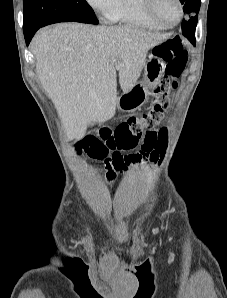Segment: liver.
Returning a JSON list of instances; mask_svg holds the SVG:
<instances>
[{
	"label": "liver",
	"mask_w": 227,
	"mask_h": 298,
	"mask_svg": "<svg viewBox=\"0 0 227 298\" xmlns=\"http://www.w3.org/2000/svg\"><path fill=\"white\" fill-rule=\"evenodd\" d=\"M169 37L130 26L83 23H60L34 36L36 73L68 140L83 138L90 124L115 115L116 72L123 93L128 92L140 77L148 51Z\"/></svg>",
	"instance_id": "liver-1"
}]
</instances>
